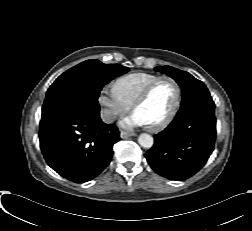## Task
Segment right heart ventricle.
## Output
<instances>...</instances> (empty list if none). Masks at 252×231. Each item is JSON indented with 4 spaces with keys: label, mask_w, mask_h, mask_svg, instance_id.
<instances>
[{
    "label": "right heart ventricle",
    "mask_w": 252,
    "mask_h": 231,
    "mask_svg": "<svg viewBox=\"0 0 252 231\" xmlns=\"http://www.w3.org/2000/svg\"><path fill=\"white\" fill-rule=\"evenodd\" d=\"M158 77L160 76L151 73H131L118 78L114 87L121 98L132 105L147 85Z\"/></svg>",
    "instance_id": "obj_1"
}]
</instances>
